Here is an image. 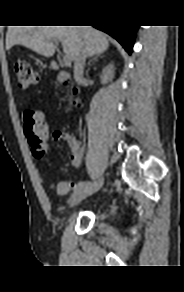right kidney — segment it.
I'll return each instance as SVG.
<instances>
[{
	"label": "right kidney",
	"mask_w": 184,
	"mask_h": 292,
	"mask_svg": "<svg viewBox=\"0 0 184 292\" xmlns=\"http://www.w3.org/2000/svg\"><path fill=\"white\" fill-rule=\"evenodd\" d=\"M113 78H114V65L110 63L106 67H104V69L102 70L101 83L107 84L108 82H111Z\"/></svg>",
	"instance_id": "obj_1"
}]
</instances>
